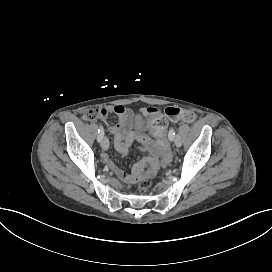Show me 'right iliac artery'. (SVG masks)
<instances>
[{
	"mask_svg": "<svg viewBox=\"0 0 272 272\" xmlns=\"http://www.w3.org/2000/svg\"><path fill=\"white\" fill-rule=\"evenodd\" d=\"M98 133H99V134H98L97 140H98V142H100L101 139H102L103 136H104V128H103L102 125L99 126Z\"/></svg>",
	"mask_w": 272,
	"mask_h": 272,
	"instance_id": "obj_1",
	"label": "right iliac artery"
}]
</instances>
